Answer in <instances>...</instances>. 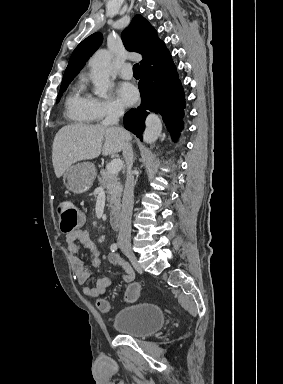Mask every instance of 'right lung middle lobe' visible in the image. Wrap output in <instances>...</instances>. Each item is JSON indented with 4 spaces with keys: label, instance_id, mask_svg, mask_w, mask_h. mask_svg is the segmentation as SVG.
<instances>
[{
    "label": "right lung middle lobe",
    "instance_id": "right-lung-middle-lobe-1",
    "mask_svg": "<svg viewBox=\"0 0 283 384\" xmlns=\"http://www.w3.org/2000/svg\"><path fill=\"white\" fill-rule=\"evenodd\" d=\"M70 82H67V83H62L61 84V89H60V92L58 94V99H57V103L59 102L61 96H62V93L67 89L68 85H69Z\"/></svg>",
    "mask_w": 283,
    "mask_h": 384
}]
</instances>
